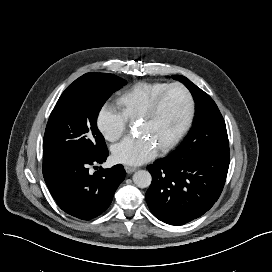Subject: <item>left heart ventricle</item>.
I'll return each mask as SVG.
<instances>
[{
  "mask_svg": "<svg viewBox=\"0 0 272 272\" xmlns=\"http://www.w3.org/2000/svg\"><path fill=\"white\" fill-rule=\"evenodd\" d=\"M187 108V99L183 91L172 89L163 99L157 113L139 123V133L148 136L157 147H160L182 126Z\"/></svg>",
  "mask_w": 272,
  "mask_h": 272,
  "instance_id": "obj_1",
  "label": "left heart ventricle"
}]
</instances>
